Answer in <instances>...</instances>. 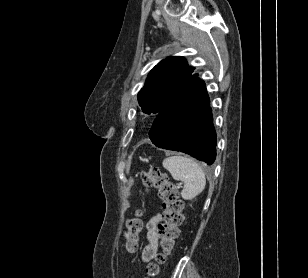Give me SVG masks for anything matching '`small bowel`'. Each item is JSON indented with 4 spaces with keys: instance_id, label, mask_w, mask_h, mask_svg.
<instances>
[{
    "instance_id": "obj_1",
    "label": "small bowel",
    "mask_w": 308,
    "mask_h": 278,
    "mask_svg": "<svg viewBox=\"0 0 308 278\" xmlns=\"http://www.w3.org/2000/svg\"><path fill=\"white\" fill-rule=\"evenodd\" d=\"M161 222V216H153L147 223V240L148 244L144 247L142 252V260L148 262L154 258L158 248V237L156 229L158 224Z\"/></svg>"
}]
</instances>
